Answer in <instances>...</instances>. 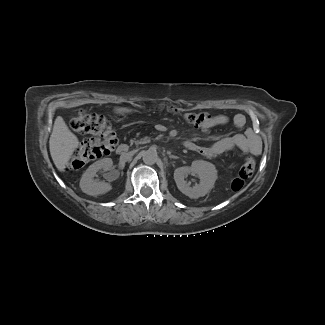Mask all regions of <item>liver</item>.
<instances>
[{"instance_id": "6515ba94", "label": "liver", "mask_w": 325, "mask_h": 325, "mask_svg": "<svg viewBox=\"0 0 325 325\" xmlns=\"http://www.w3.org/2000/svg\"><path fill=\"white\" fill-rule=\"evenodd\" d=\"M118 114L130 113L132 109L115 108ZM79 141L73 134L62 117H57L49 140V148L52 160L59 171H64L74 151L78 148Z\"/></svg>"}]
</instances>
